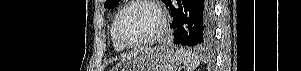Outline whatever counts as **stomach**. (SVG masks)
<instances>
[{"mask_svg": "<svg viewBox=\"0 0 301 71\" xmlns=\"http://www.w3.org/2000/svg\"><path fill=\"white\" fill-rule=\"evenodd\" d=\"M179 58L170 48H143L123 58L114 71H176Z\"/></svg>", "mask_w": 301, "mask_h": 71, "instance_id": "obj_1", "label": "stomach"}]
</instances>
